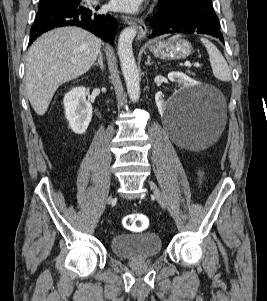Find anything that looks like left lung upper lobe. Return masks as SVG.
<instances>
[{"instance_id":"5c2ea615","label":"left lung upper lobe","mask_w":267,"mask_h":301,"mask_svg":"<svg viewBox=\"0 0 267 301\" xmlns=\"http://www.w3.org/2000/svg\"><path fill=\"white\" fill-rule=\"evenodd\" d=\"M212 0H159V10L196 15L205 21L220 25Z\"/></svg>"}]
</instances>
